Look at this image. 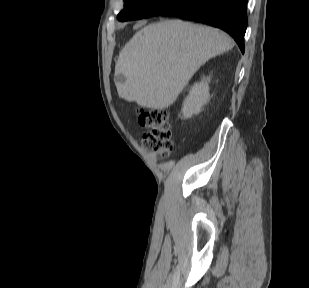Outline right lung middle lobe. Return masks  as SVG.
<instances>
[{"label": "right lung middle lobe", "mask_w": 309, "mask_h": 288, "mask_svg": "<svg viewBox=\"0 0 309 288\" xmlns=\"http://www.w3.org/2000/svg\"><path fill=\"white\" fill-rule=\"evenodd\" d=\"M166 0H124L125 7L117 16L119 21L144 18L149 12Z\"/></svg>", "instance_id": "right-lung-middle-lobe-1"}]
</instances>
